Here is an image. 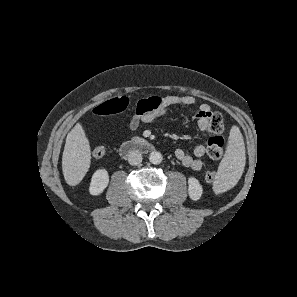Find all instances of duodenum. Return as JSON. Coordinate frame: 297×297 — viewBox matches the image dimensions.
<instances>
[{
	"mask_svg": "<svg viewBox=\"0 0 297 297\" xmlns=\"http://www.w3.org/2000/svg\"><path fill=\"white\" fill-rule=\"evenodd\" d=\"M153 146L145 139L136 138L124 142L120 146V155L124 158H129L135 153H148L152 151Z\"/></svg>",
	"mask_w": 297,
	"mask_h": 297,
	"instance_id": "410a0bca",
	"label": "duodenum"
}]
</instances>
